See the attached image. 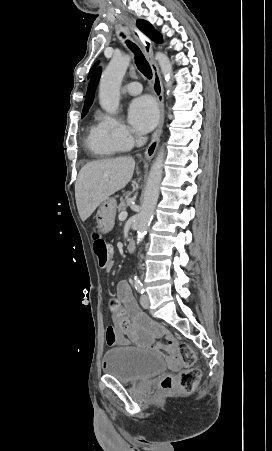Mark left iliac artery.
<instances>
[{
    "instance_id": "obj_1",
    "label": "left iliac artery",
    "mask_w": 272,
    "mask_h": 451,
    "mask_svg": "<svg viewBox=\"0 0 272 451\" xmlns=\"http://www.w3.org/2000/svg\"><path fill=\"white\" fill-rule=\"evenodd\" d=\"M135 289L137 290V292L143 294L144 293V287L143 284L140 280H136L135 281Z\"/></svg>"
}]
</instances>
